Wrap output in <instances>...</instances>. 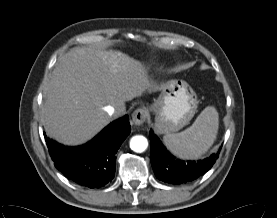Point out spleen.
<instances>
[{
	"label": "spleen",
	"instance_id": "3e777b00",
	"mask_svg": "<svg viewBox=\"0 0 277 218\" xmlns=\"http://www.w3.org/2000/svg\"><path fill=\"white\" fill-rule=\"evenodd\" d=\"M218 127L217 110L213 106H207L189 128L180 133L166 134L163 142L178 157L196 159L213 145Z\"/></svg>",
	"mask_w": 277,
	"mask_h": 218
}]
</instances>
